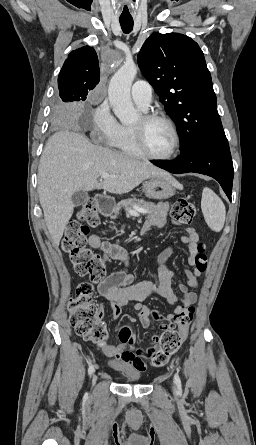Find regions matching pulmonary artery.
I'll return each mask as SVG.
<instances>
[{"mask_svg": "<svg viewBox=\"0 0 256 445\" xmlns=\"http://www.w3.org/2000/svg\"><path fill=\"white\" fill-rule=\"evenodd\" d=\"M133 102L143 110H147L152 101V90L148 82L139 80L131 88Z\"/></svg>", "mask_w": 256, "mask_h": 445, "instance_id": "1", "label": "pulmonary artery"}]
</instances>
